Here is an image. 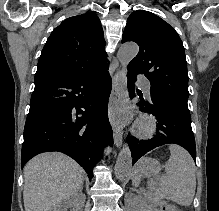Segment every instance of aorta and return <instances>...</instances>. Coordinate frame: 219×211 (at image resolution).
<instances>
[{
	"mask_svg": "<svg viewBox=\"0 0 219 211\" xmlns=\"http://www.w3.org/2000/svg\"><path fill=\"white\" fill-rule=\"evenodd\" d=\"M139 51V47L135 43H126L123 44L118 50V60L121 64L123 72L126 73L127 66L130 61L137 55ZM123 85L125 82L123 80ZM122 97L124 103L128 102V91L126 89L122 92ZM129 114L126 105L123 107V117L126 118ZM115 176L120 181L127 180L132 172V155L127 143H124L118 158L116 160L115 168H114Z\"/></svg>",
	"mask_w": 219,
	"mask_h": 211,
	"instance_id": "aorta-1",
	"label": "aorta"
}]
</instances>
